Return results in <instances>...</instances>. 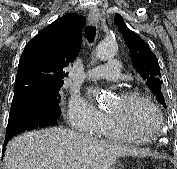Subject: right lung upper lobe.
<instances>
[{"instance_id": "obj_1", "label": "right lung upper lobe", "mask_w": 177, "mask_h": 169, "mask_svg": "<svg viewBox=\"0 0 177 169\" xmlns=\"http://www.w3.org/2000/svg\"><path fill=\"white\" fill-rule=\"evenodd\" d=\"M81 20V15L68 13L27 43L18 65L14 93L31 84L63 85V78L68 76L63 69L74 61L81 47Z\"/></svg>"}]
</instances>
